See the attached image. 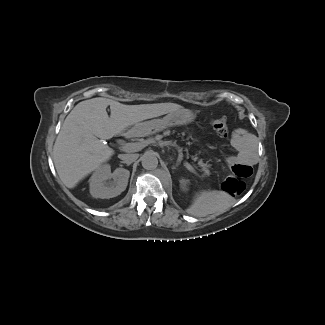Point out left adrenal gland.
Returning <instances> with one entry per match:
<instances>
[{"label":"left adrenal gland","mask_w":325,"mask_h":325,"mask_svg":"<svg viewBox=\"0 0 325 325\" xmlns=\"http://www.w3.org/2000/svg\"><path fill=\"white\" fill-rule=\"evenodd\" d=\"M177 168V165L173 166V169H176Z\"/></svg>","instance_id":"1"}]
</instances>
